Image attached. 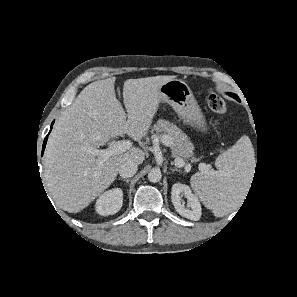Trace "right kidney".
Returning <instances> with one entry per match:
<instances>
[{"mask_svg":"<svg viewBox=\"0 0 297 297\" xmlns=\"http://www.w3.org/2000/svg\"><path fill=\"white\" fill-rule=\"evenodd\" d=\"M122 203V190L120 188H113L101 194L96 201L95 210L102 216L112 215L121 209Z\"/></svg>","mask_w":297,"mask_h":297,"instance_id":"obj_1","label":"right kidney"}]
</instances>
